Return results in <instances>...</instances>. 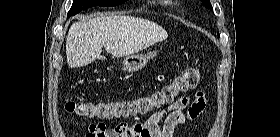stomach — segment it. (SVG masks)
Wrapping results in <instances>:
<instances>
[{
  "label": "stomach",
  "mask_w": 280,
  "mask_h": 137,
  "mask_svg": "<svg viewBox=\"0 0 280 137\" xmlns=\"http://www.w3.org/2000/svg\"><path fill=\"white\" fill-rule=\"evenodd\" d=\"M157 52H150L147 55L143 54H135V55H128L124 58L123 66L124 69L128 72H136L141 70L143 67L146 66L147 62L155 57Z\"/></svg>",
  "instance_id": "1"
}]
</instances>
